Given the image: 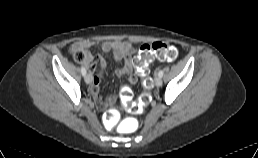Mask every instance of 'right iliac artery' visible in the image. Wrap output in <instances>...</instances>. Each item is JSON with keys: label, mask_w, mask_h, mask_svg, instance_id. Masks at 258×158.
I'll list each match as a JSON object with an SVG mask.
<instances>
[{"label": "right iliac artery", "mask_w": 258, "mask_h": 158, "mask_svg": "<svg viewBox=\"0 0 258 158\" xmlns=\"http://www.w3.org/2000/svg\"><path fill=\"white\" fill-rule=\"evenodd\" d=\"M81 73H82L83 76L86 75V69L83 66L81 67Z\"/></svg>", "instance_id": "right-iliac-artery-1"}]
</instances>
